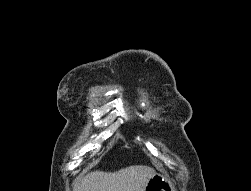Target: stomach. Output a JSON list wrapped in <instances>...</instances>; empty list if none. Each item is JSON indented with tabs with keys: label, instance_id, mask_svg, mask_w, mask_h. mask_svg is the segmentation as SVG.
<instances>
[{
	"label": "stomach",
	"instance_id": "1",
	"mask_svg": "<svg viewBox=\"0 0 251 191\" xmlns=\"http://www.w3.org/2000/svg\"><path fill=\"white\" fill-rule=\"evenodd\" d=\"M144 191H175V189L171 181H168V179H165L162 175L155 173V175L149 177L144 187Z\"/></svg>",
	"mask_w": 251,
	"mask_h": 191
}]
</instances>
